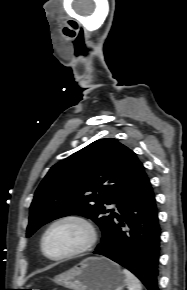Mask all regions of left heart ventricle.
<instances>
[{
    "instance_id": "obj_1",
    "label": "left heart ventricle",
    "mask_w": 187,
    "mask_h": 290,
    "mask_svg": "<svg viewBox=\"0 0 187 290\" xmlns=\"http://www.w3.org/2000/svg\"><path fill=\"white\" fill-rule=\"evenodd\" d=\"M86 241L84 229L75 223L54 227L46 239V250L51 256H60L81 247Z\"/></svg>"
}]
</instances>
